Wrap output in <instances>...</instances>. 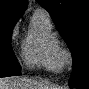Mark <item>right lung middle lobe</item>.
I'll return each mask as SVG.
<instances>
[{
    "mask_svg": "<svg viewBox=\"0 0 89 89\" xmlns=\"http://www.w3.org/2000/svg\"><path fill=\"white\" fill-rule=\"evenodd\" d=\"M18 20L0 16V77L18 76L20 65L11 47V36Z\"/></svg>",
    "mask_w": 89,
    "mask_h": 89,
    "instance_id": "right-lung-middle-lobe-1",
    "label": "right lung middle lobe"
}]
</instances>
